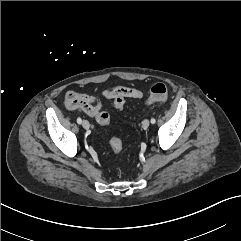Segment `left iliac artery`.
I'll return each mask as SVG.
<instances>
[{"label": "left iliac artery", "mask_w": 241, "mask_h": 241, "mask_svg": "<svg viewBox=\"0 0 241 241\" xmlns=\"http://www.w3.org/2000/svg\"><path fill=\"white\" fill-rule=\"evenodd\" d=\"M156 120L154 118L151 119V123L154 124Z\"/></svg>", "instance_id": "44dca946"}]
</instances>
